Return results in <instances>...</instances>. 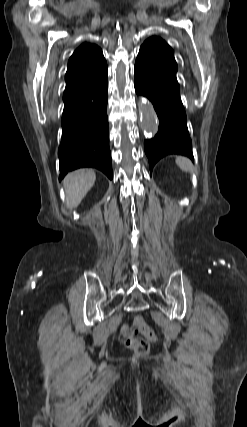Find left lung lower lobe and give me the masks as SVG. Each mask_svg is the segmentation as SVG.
<instances>
[{
    "label": "left lung lower lobe",
    "instance_id": "0a47b994",
    "mask_svg": "<svg viewBox=\"0 0 247 427\" xmlns=\"http://www.w3.org/2000/svg\"><path fill=\"white\" fill-rule=\"evenodd\" d=\"M134 75L137 94L152 102L160 120L158 133L144 142L150 171L158 160L171 154L187 156L193 161L192 141L179 85L172 83L140 58L136 59Z\"/></svg>",
    "mask_w": 247,
    "mask_h": 427
}]
</instances>
